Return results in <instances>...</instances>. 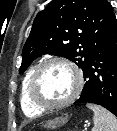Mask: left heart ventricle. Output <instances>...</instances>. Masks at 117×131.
<instances>
[{"instance_id":"left-heart-ventricle-1","label":"left heart ventricle","mask_w":117,"mask_h":131,"mask_svg":"<svg viewBox=\"0 0 117 131\" xmlns=\"http://www.w3.org/2000/svg\"><path fill=\"white\" fill-rule=\"evenodd\" d=\"M75 85V75L69 68L63 65H50L40 72L35 92L44 102L58 103L72 94Z\"/></svg>"}]
</instances>
